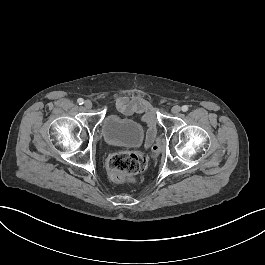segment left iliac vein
<instances>
[{"label": "left iliac vein", "instance_id": "left-iliac-vein-1", "mask_svg": "<svg viewBox=\"0 0 265 265\" xmlns=\"http://www.w3.org/2000/svg\"><path fill=\"white\" fill-rule=\"evenodd\" d=\"M180 111H181V108H180V106H178V105H174V106L172 107V109H171V112H172L173 114H178Z\"/></svg>", "mask_w": 265, "mask_h": 265}]
</instances>
